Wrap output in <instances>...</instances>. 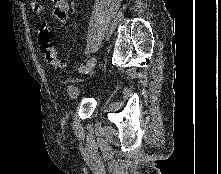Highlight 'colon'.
Returning a JSON list of instances; mask_svg holds the SVG:
<instances>
[{
    "label": "colon",
    "instance_id": "5ec220e1",
    "mask_svg": "<svg viewBox=\"0 0 221 174\" xmlns=\"http://www.w3.org/2000/svg\"><path fill=\"white\" fill-rule=\"evenodd\" d=\"M38 44L46 61L55 67H62L64 62L59 58L53 43V33L46 23H42L38 31Z\"/></svg>",
    "mask_w": 221,
    "mask_h": 174
}]
</instances>
